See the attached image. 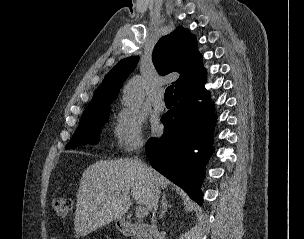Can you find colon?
<instances>
[{
  "mask_svg": "<svg viewBox=\"0 0 304 239\" xmlns=\"http://www.w3.org/2000/svg\"><path fill=\"white\" fill-rule=\"evenodd\" d=\"M52 206L56 215L64 218L72 210V200L69 197L56 196L52 199Z\"/></svg>",
  "mask_w": 304,
  "mask_h": 239,
  "instance_id": "1",
  "label": "colon"
}]
</instances>
